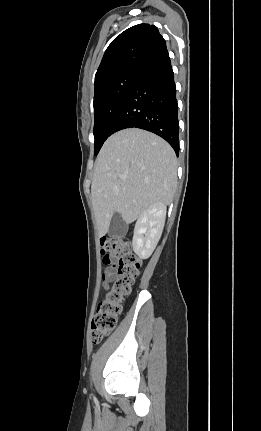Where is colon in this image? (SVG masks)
<instances>
[{"label": "colon", "mask_w": 261, "mask_h": 431, "mask_svg": "<svg viewBox=\"0 0 261 431\" xmlns=\"http://www.w3.org/2000/svg\"><path fill=\"white\" fill-rule=\"evenodd\" d=\"M104 264H112L114 279L105 298L97 308L91 323V336L94 342L101 341L115 327L122 312L125 297L139 274L142 261L132 250L130 241L123 237H105L101 240Z\"/></svg>", "instance_id": "5ec220e1"}]
</instances>
